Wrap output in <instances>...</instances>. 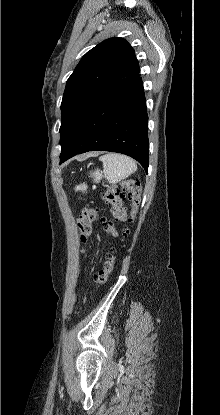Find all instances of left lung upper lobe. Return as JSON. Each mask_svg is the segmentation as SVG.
I'll return each mask as SVG.
<instances>
[{
	"instance_id": "obj_1",
	"label": "left lung upper lobe",
	"mask_w": 220,
	"mask_h": 415,
	"mask_svg": "<svg viewBox=\"0 0 220 415\" xmlns=\"http://www.w3.org/2000/svg\"><path fill=\"white\" fill-rule=\"evenodd\" d=\"M140 72L135 52L123 38H110L88 51L66 83L61 104V153L68 150L86 114L115 80Z\"/></svg>"
}]
</instances>
